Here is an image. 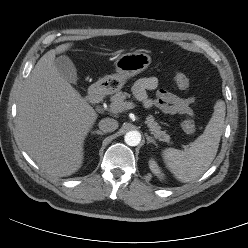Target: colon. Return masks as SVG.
I'll list each match as a JSON object with an SVG mask.
<instances>
[{
	"instance_id": "5ec220e1",
	"label": "colon",
	"mask_w": 248,
	"mask_h": 248,
	"mask_svg": "<svg viewBox=\"0 0 248 248\" xmlns=\"http://www.w3.org/2000/svg\"><path fill=\"white\" fill-rule=\"evenodd\" d=\"M172 80L179 89H187L189 86L188 78L182 73H174ZM182 129L187 135H193L196 131L194 121L187 117L182 122Z\"/></svg>"
}]
</instances>
